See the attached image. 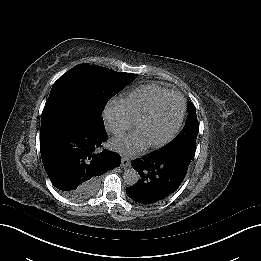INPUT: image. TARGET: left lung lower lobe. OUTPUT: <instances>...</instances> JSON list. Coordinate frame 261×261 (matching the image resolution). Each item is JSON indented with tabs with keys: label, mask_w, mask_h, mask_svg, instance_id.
<instances>
[{
	"label": "left lung lower lobe",
	"mask_w": 261,
	"mask_h": 261,
	"mask_svg": "<svg viewBox=\"0 0 261 261\" xmlns=\"http://www.w3.org/2000/svg\"><path fill=\"white\" fill-rule=\"evenodd\" d=\"M195 153L185 148H162L134 160L132 167L140 180L126 189L127 195L141 204H156L166 200L181 185Z\"/></svg>",
	"instance_id": "obj_1"
}]
</instances>
